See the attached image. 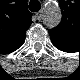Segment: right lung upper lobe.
<instances>
[{"instance_id":"obj_1","label":"right lung upper lobe","mask_w":80,"mask_h":80,"mask_svg":"<svg viewBox=\"0 0 80 80\" xmlns=\"http://www.w3.org/2000/svg\"><path fill=\"white\" fill-rule=\"evenodd\" d=\"M32 14L26 3L13 2L0 17V46L16 49L22 45L26 30L30 27Z\"/></svg>"}]
</instances>
